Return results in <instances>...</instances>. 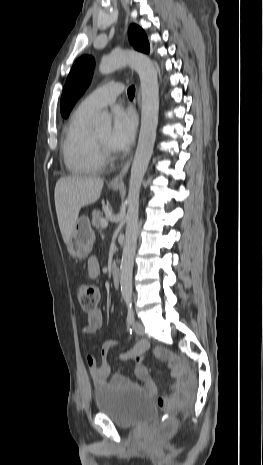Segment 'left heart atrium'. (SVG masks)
Masks as SVG:
<instances>
[{"label":"left heart atrium","instance_id":"left-heart-atrium-1","mask_svg":"<svg viewBox=\"0 0 263 465\" xmlns=\"http://www.w3.org/2000/svg\"><path fill=\"white\" fill-rule=\"evenodd\" d=\"M136 130L134 114L122 107L113 110V125L109 136V146L114 150H124L133 141Z\"/></svg>","mask_w":263,"mask_h":465}]
</instances>
